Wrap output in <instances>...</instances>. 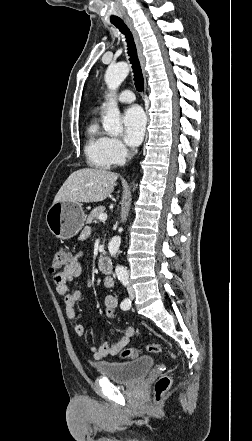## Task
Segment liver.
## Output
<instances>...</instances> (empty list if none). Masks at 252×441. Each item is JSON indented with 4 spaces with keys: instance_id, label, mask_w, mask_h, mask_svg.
I'll return each instance as SVG.
<instances>
[{
    "instance_id": "1",
    "label": "liver",
    "mask_w": 252,
    "mask_h": 441,
    "mask_svg": "<svg viewBox=\"0 0 252 441\" xmlns=\"http://www.w3.org/2000/svg\"><path fill=\"white\" fill-rule=\"evenodd\" d=\"M117 178V173L104 169H79L66 179L54 202H101L113 192Z\"/></svg>"
}]
</instances>
